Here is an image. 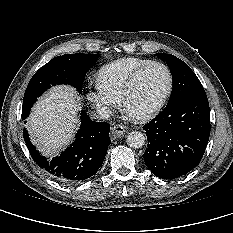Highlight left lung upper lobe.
I'll return each instance as SVG.
<instances>
[{
    "instance_id": "1",
    "label": "left lung upper lobe",
    "mask_w": 233,
    "mask_h": 233,
    "mask_svg": "<svg viewBox=\"0 0 233 233\" xmlns=\"http://www.w3.org/2000/svg\"><path fill=\"white\" fill-rule=\"evenodd\" d=\"M156 55L167 63L173 77V89L168 104L185 98H207L198 77L185 62L171 54Z\"/></svg>"
}]
</instances>
